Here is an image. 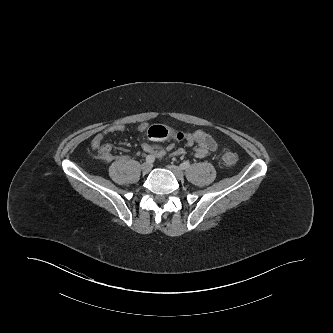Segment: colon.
Wrapping results in <instances>:
<instances>
[{
    "label": "colon",
    "mask_w": 333,
    "mask_h": 333,
    "mask_svg": "<svg viewBox=\"0 0 333 333\" xmlns=\"http://www.w3.org/2000/svg\"><path fill=\"white\" fill-rule=\"evenodd\" d=\"M142 133L154 140H164L168 137H174L178 140L183 138L179 131L171 130L163 125H152L144 129ZM221 160L227 166L234 165L237 162V154L231 150H226L221 154Z\"/></svg>",
    "instance_id": "1"
}]
</instances>
